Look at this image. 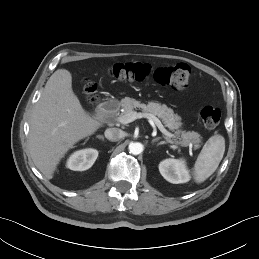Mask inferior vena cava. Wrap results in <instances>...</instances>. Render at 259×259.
I'll list each match as a JSON object with an SVG mask.
<instances>
[{"label":"inferior vena cava","instance_id":"inferior-vena-cava-1","mask_svg":"<svg viewBox=\"0 0 259 259\" xmlns=\"http://www.w3.org/2000/svg\"><path fill=\"white\" fill-rule=\"evenodd\" d=\"M104 134L110 141H118L124 137V132L119 128H108L105 130Z\"/></svg>","mask_w":259,"mask_h":259}]
</instances>
